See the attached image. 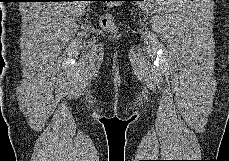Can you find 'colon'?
<instances>
[{
	"instance_id": "obj_1",
	"label": "colon",
	"mask_w": 229,
	"mask_h": 161,
	"mask_svg": "<svg viewBox=\"0 0 229 161\" xmlns=\"http://www.w3.org/2000/svg\"><path fill=\"white\" fill-rule=\"evenodd\" d=\"M113 2V1H111ZM116 4H109V7H114ZM101 28L107 32L114 33L117 29L114 22V16L111 12L103 14L99 19Z\"/></svg>"
}]
</instances>
